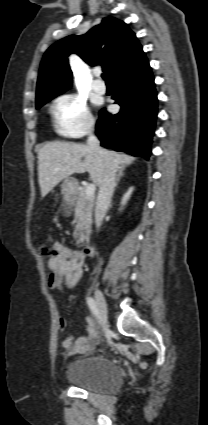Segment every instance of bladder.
Masks as SVG:
<instances>
[{"label":"bladder","instance_id":"1","mask_svg":"<svg viewBox=\"0 0 208 425\" xmlns=\"http://www.w3.org/2000/svg\"><path fill=\"white\" fill-rule=\"evenodd\" d=\"M65 378L76 387L99 393H111L122 384V375L116 364L101 355L70 361Z\"/></svg>","mask_w":208,"mask_h":425}]
</instances>
